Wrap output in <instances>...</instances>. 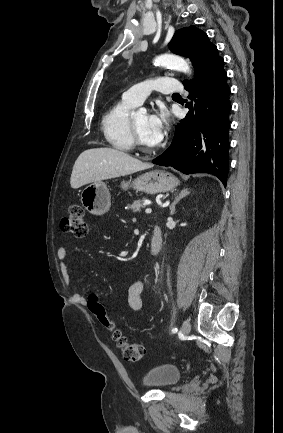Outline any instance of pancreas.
Wrapping results in <instances>:
<instances>
[{"mask_svg":"<svg viewBox=\"0 0 283 433\" xmlns=\"http://www.w3.org/2000/svg\"><path fill=\"white\" fill-rule=\"evenodd\" d=\"M145 200H149V198L142 196L139 200H133L132 204H128V208H132L133 212H140L141 208L147 206V204H144Z\"/></svg>","mask_w":283,"mask_h":433,"instance_id":"1","label":"pancreas"}]
</instances>
